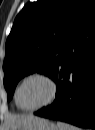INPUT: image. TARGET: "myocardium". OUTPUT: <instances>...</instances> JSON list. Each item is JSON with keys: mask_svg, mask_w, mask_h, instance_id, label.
I'll return each mask as SVG.
<instances>
[{"mask_svg": "<svg viewBox=\"0 0 95 130\" xmlns=\"http://www.w3.org/2000/svg\"><path fill=\"white\" fill-rule=\"evenodd\" d=\"M35 78L42 79L49 85V87H50V96L44 103H42L41 105H39L37 107H34V108H24L19 103V91H20L21 87L24 85V83H26L27 81H29L31 79H35ZM56 94H57V84H56V82L49 75H47L45 73H41V72H36V73H32V74L26 76L20 82V84L16 88L14 99H15V103H16L17 107L19 109H21L22 111L34 112V111H37V110H39V109H41L43 107H46L49 104H51L54 101V99L56 97Z\"/></svg>", "mask_w": 95, "mask_h": 130, "instance_id": "1", "label": "myocardium"}]
</instances>
